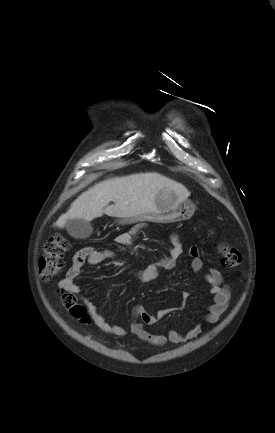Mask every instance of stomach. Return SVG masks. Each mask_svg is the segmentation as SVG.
<instances>
[{"mask_svg": "<svg viewBox=\"0 0 275 433\" xmlns=\"http://www.w3.org/2000/svg\"><path fill=\"white\" fill-rule=\"evenodd\" d=\"M157 210L152 213L121 219L119 223L132 221H152L157 223H174L184 221L194 214L195 205L187 200H179L175 192L162 190L156 196Z\"/></svg>", "mask_w": 275, "mask_h": 433, "instance_id": "1", "label": "stomach"}]
</instances>
